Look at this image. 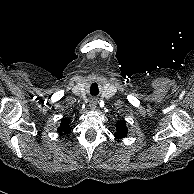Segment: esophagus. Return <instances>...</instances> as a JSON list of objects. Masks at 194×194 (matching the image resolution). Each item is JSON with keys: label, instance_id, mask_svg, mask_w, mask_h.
Here are the masks:
<instances>
[{"label": "esophagus", "instance_id": "1", "mask_svg": "<svg viewBox=\"0 0 194 194\" xmlns=\"http://www.w3.org/2000/svg\"><path fill=\"white\" fill-rule=\"evenodd\" d=\"M90 106H91L92 109L95 108V106H96V101L91 100Z\"/></svg>", "mask_w": 194, "mask_h": 194}]
</instances>
